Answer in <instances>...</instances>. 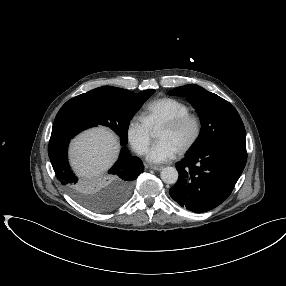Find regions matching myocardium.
Segmentation results:
<instances>
[{
  "label": "myocardium",
  "instance_id": "obj_1",
  "mask_svg": "<svg viewBox=\"0 0 286 286\" xmlns=\"http://www.w3.org/2000/svg\"><path fill=\"white\" fill-rule=\"evenodd\" d=\"M188 123H191L194 127V133L190 140L179 150L181 153H185L191 150L199 141L202 134V121L201 118L194 113H187L166 121L160 128H179Z\"/></svg>",
  "mask_w": 286,
  "mask_h": 286
}]
</instances>
